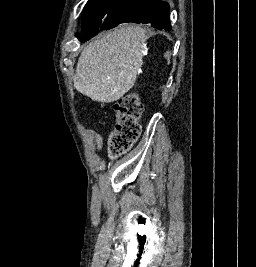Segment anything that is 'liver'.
I'll return each mask as SVG.
<instances>
[{
	"instance_id": "1",
	"label": "liver",
	"mask_w": 256,
	"mask_h": 267,
	"mask_svg": "<svg viewBox=\"0 0 256 267\" xmlns=\"http://www.w3.org/2000/svg\"><path fill=\"white\" fill-rule=\"evenodd\" d=\"M145 30L119 26L81 52L74 88L95 102H116L135 84L143 60Z\"/></svg>"
}]
</instances>
